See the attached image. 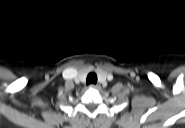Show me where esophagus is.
Listing matches in <instances>:
<instances>
[{"instance_id":"34e87169","label":"esophagus","mask_w":185,"mask_h":128,"mask_svg":"<svg viewBox=\"0 0 185 128\" xmlns=\"http://www.w3.org/2000/svg\"><path fill=\"white\" fill-rule=\"evenodd\" d=\"M89 88H91V89H99L100 85H98V84H90Z\"/></svg>"}]
</instances>
